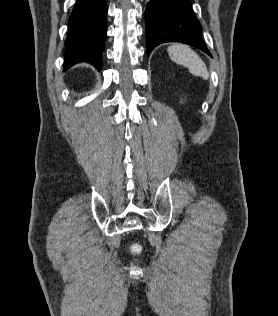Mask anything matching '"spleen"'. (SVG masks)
<instances>
[{
  "instance_id": "1",
  "label": "spleen",
  "mask_w": 278,
  "mask_h": 316,
  "mask_svg": "<svg viewBox=\"0 0 278 316\" xmlns=\"http://www.w3.org/2000/svg\"><path fill=\"white\" fill-rule=\"evenodd\" d=\"M167 51L172 61L187 67L191 74L201 76L204 79L209 78L205 63L199 55L187 45L173 44L168 47Z\"/></svg>"
}]
</instances>
